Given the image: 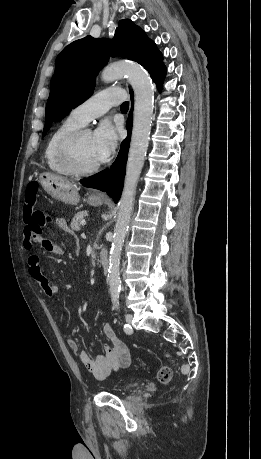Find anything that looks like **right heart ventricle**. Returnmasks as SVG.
Returning <instances> with one entry per match:
<instances>
[{
	"label": "right heart ventricle",
	"instance_id": "right-heart-ventricle-1",
	"mask_svg": "<svg viewBox=\"0 0 261 459\" xmlns=\"http://www.w3.org/2000/svg\"><path fill=\"white\" fill-rule=\"evenodd\" d=\"M82 126V124L69 116L57 125L51 132L44 149V160L50 170L59 174L70 175V173L59 162L58 148L61 141L68 134L81 128Z\"/></svg>",
	"mask_w": 261,
	"mask_h": 459
}]
</instances>
